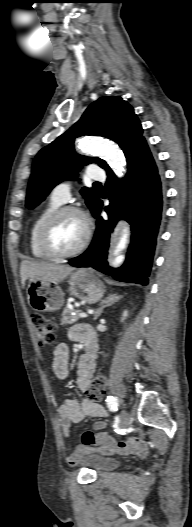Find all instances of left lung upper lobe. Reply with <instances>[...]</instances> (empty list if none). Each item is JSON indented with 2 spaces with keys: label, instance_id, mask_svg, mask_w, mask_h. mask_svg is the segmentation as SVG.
I'll list each match as a JSON object with an SVG mask.
<instances>
[{
  "label": "left lung upper lobe",
  "instance_id": "5c2ea615",
  "mask_svg": "<svg viewBox=\"0 0 192 527\" xmlns=\"http://www.w3.org/2000/svg\"><path fill=\"white\" fill-rule=\"evenodd\" d=\"M142 127L133 108L119 96H105L91 104L80 120L67 132L36 155L30 177L26 207L33 209L51 189L66 179H75L82 165L97 162L107 173L112 172L99 158L84 157L74 152V139L83 135H99L119 144L126 158L145 141ZM93 214L99 203L98 193L84 187L81 190Z\"/></svg>",
  "mask_w": 192,
  "mask_h": 527
}]
</instances>
